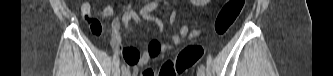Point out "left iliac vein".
I'll return each instance as SVG.
<instances>
[{
    "label": "left iliac vein",
    "mask_w": 333,
    "mask_h": 76,
    "mask_svg": "<svg viewBox=\"0 0 333 76\" xmlns=\"http://www.w3.org/2000/svg\"><path fill=\"white\" fill-rule=\"evenodd\" d=\"M197 75H198V76H205V72L202 71V70H198Z\"/></svg>",
    "instance_id": "1"
}]
</instances>
